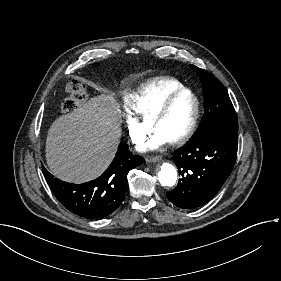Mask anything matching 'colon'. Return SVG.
<instances>
[{
  "label": "colon",
  "mask_w": 281,
  "mask_h": 281,
  "mask_svg": "<svg viewBox=\"0 0 281 281\" xmlns=\"http://www.w3.org/2000/svg\"><path fill=\"white\" fill-rule=\"evenodd\" d=\"M66 97L61 105L64 114L75 112L88 98L85 86L79 81H71L65 87Z\"/></svg>",
  "instance_id": "obj_1"
}]
</instances>
